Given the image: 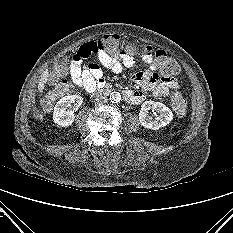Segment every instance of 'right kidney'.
<instances>
[{
	"instance_id": "ca27d5eb",
	"label": "right kidney",
	"mask_w": 233,
	"mask_h": 233,
	"mask_svg": "<svg viewBox=\"0 0 233 233\" xmlns=\"http://www.w3.org/2000/svg\"><path fill=\"white\" fill-rule=\"evenodd\" d=\"M83 98L80 95H68L61 98L54 107L53 120L62 127H67L74 122V111L82 105ZM74 105L73 109H68Z\"/></svg>"
}]
</instances>
